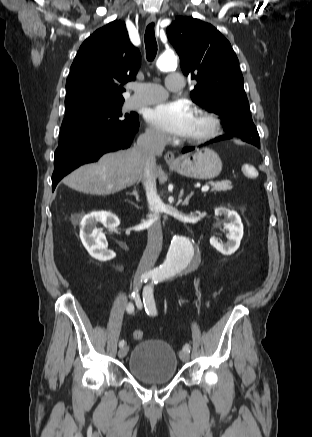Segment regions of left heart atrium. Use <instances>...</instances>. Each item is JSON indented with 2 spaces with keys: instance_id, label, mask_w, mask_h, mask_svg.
I'll return each instance as SVG.
<instances>
[{
  "instance_id": "obj_1",
  "label": "left heart atrium",
  "mask_w": 312,
  "mask_h": 437,
  "mask_svg": "<svg viewBox=\"0 0 312 437\" xmlns=\"http://www.w3.org/2000/svg\"><path fill=\"white\" fill-rule=\"evenodd\" d=\"M146 119L165 133L187 137L192 130L194 114L183 102H163L149 110Z\"/></svg>"
}]
</instances>
